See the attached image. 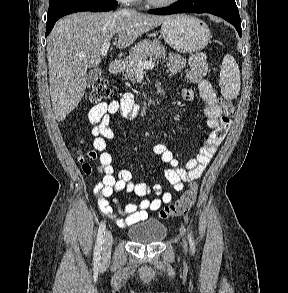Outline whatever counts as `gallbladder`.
Listing matches in <instances>:
<instances>
[{"label": "gallbladder", "instance_id": "bac80fb5", "mask_svg": "<svg viewBox=\"0 0 288 293\" xmlns=\"http://www.w3.org/2000/svg\"><path fill=\"white\" fill-rule=\"evenodd\" d=\"M102 70L100 68H94L92 69L87 78V87H90L100 76H101Z\"/></svg>", "mask_w": 288, "mask_h": 293}]
</instances>
